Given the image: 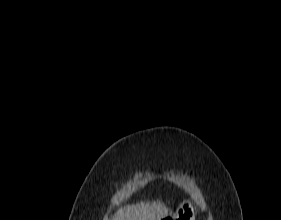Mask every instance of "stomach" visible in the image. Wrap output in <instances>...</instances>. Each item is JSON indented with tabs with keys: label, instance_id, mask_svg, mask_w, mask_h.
I'll use <instances>...</instances> for the list:
<instances>
[{
	"label": "stomach",
	"instance_id": "1",
	"mask_svg": "<svg viewBox=\"0 0 281 220\" xmlns=\"http://www.w3.org/2000/svg\"><path fill=\"white\" fill-rule=\"evenodd\" d=\"M164 220H195L194 208L191 202L184 201L173 215L165 217Z\"/></svg>",
	"mask_w": 281,
	"mask_h": 220
}]
</instances>
